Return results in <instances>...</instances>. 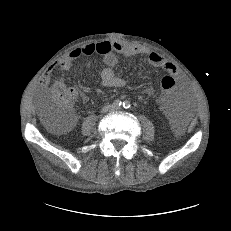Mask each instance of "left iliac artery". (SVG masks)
<instances>
[{"instance_id":"obj_1","label":"left iliac artery","mask_w":231,"mask_h":231,"mask_svg":"<svg viewBox=\"0 0 231 231\" xmlns=\"http://www.w3.org/2000/svg\"><path fill=\"white\" fill-rule=\"evenodd\" d=\"M130 102L129 101H124L123 102V107L125 108V109H128V108H130Z\"/></svg>"}]
</instances>
